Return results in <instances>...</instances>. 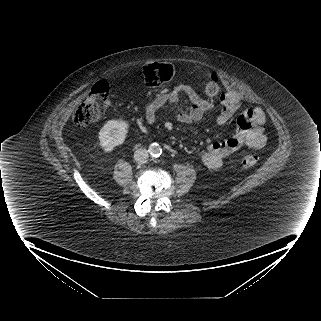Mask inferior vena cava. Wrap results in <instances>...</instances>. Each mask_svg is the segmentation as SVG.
<instances>
[{
    "label": "inferior vena cava",
    "instance_id": "inferior-vena-cava-1",
    "mask_svg": "<svg viewBox=\"0 0 321 321\" xmlns=\"http://www.w3.org/2000/svg\"><path fill=\"white\" fill-rule=\"evenodd\" d=\"M149 153L145 148H139L134 152V159L139 164H145L148 161Z\"/></svg>",
    "mask_w": 321,
    "mask_h": 321
}]
</instances>
